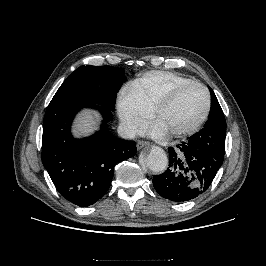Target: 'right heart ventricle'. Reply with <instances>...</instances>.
I'll return each instance as SVG.
<instances>
[{
  "label": "right heart ventricle",
  "mask_w": 266,
  "mask_h": 266,
  "mask_svg": "<svg viewBox=\"0 0 266 266\" xmlns=\"http://www.w3.org/2000/svg\"><path fill=\"white\" fill-rule=\"evenodd\" d=\"M193 80L169 71H150L132 81L128 88L153 111L159 100L173 87Z\"/></svg>",
  "instance_id": "obj_1"
}]
</instances>
